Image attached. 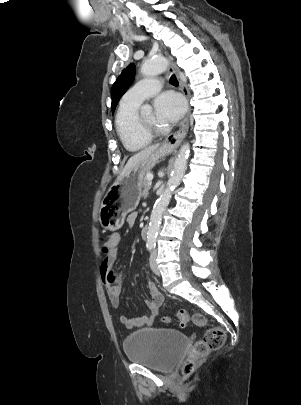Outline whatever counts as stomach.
Returning <instances> with one entry per match:
<instances>
[{
  "label": "stomach",
  "mask_w": 301,
  "mask_h": 405,
  "mask_svg": "<svg viewBox=\"0 0 301 405\" xmlns=\"http://www.w3.org/2000/svg\"><path fill=\"white\" fill-rule=\"evenodd\" d=\"M171 151L160 147L134 166L122 179L114 182L101 203L99 221L105 229L115 230L123 225L125 216L133 211L140 201L145 174L155 166L159 158Z\"/></svg>",
  "instance_id": "obj_1"
}]
</instances>
